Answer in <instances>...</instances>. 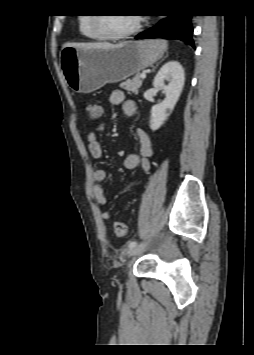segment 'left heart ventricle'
Masks as SVG:
<instances>
[{"label":"left heart ventricle","mask_w":254,"mask_h":355,"mask_svg":"<svg viewBox=\"0 0 254 355\" xmlns=\"http://www.w3.org/2000/svg\"><path fill=\"white\" fill-rule=\"evenodd\" d=\"M135 22V15H112L104 19V27L110 33L119 34L131 29Z\"/></svg>","instance_id":"b2bd125f"}]
</instances>
